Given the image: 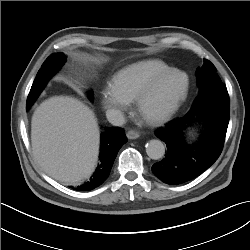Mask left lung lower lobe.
I'll return each instance as SVG.
<instances>
[{
  "instance_id": "1",
  "label": "left lung lower lobe",
  "mask_w": 250,
  "mask_h": 250,
  "mask_svg": "<svg viewBox=\"0 0 250 250\" xmlns=\"http://www.w3.org/2000/svg\"><path fill=\"white\" fill-rule=\"evenodd\" d=\"M230 100L226 86L218 84L201 91L189 112L177 118L155 135L165 142V157L152 166L153 173L163 182L181 184L199 176L220 156L229 123ZM207 123L196 144L186 139L188 124L193 119Z\"/></svg>"
}]
</instances>
